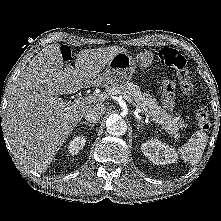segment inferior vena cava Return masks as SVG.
Here are the masks:
<instances>
[{"instance_id":"inferior-vena-cava-1","label":"inferior vena cava","mask_w":221,"mask_h":221,"mask_svg":"<svg viewBox=\"0 0 221 221\" xmlns=\"http://www.w3.org/2000/svg\"><path fill=\"white\" fill-rule=\"evenodd\" d=\"M104 105L92 106L85 114V119L90 123H97L105 113Z\"/></svg>"}]
</instances>
